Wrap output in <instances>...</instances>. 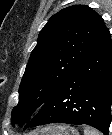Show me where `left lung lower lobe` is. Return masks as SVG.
I'll use <instances>...</instances> for the list:
<instances>
[{
    "mask_svg": "<svg viewBox=\"0 0 112 135\" xmlns=\"http://www.w3.org/2000/svg\"><path fill=\"white\" fill-rule=\"evenodd\" d=\"M112 104V42L109 31L86 55L25 128L87 124L109 134Z\"/></svg>",
    "mask_w": 112,
    "mask_h": 135,
    "instance_id": "left-lung-lower-lobe-1",
    "label": "left lung lower lobe"
}]
</instances>
